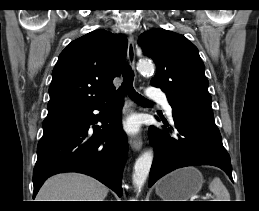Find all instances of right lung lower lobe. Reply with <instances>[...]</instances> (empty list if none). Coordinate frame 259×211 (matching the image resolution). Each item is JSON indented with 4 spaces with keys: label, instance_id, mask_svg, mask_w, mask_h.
Segmentation results:
<instances>
[{
    "label": "right lung lower lobe",
    "instance_id": "obj_1",
    "mask_svg": "<svg viewBox=\"0 0 259 211\" xmlns=\"http://www.w3.org/2000/svg\"><path fill=\"white\" fill-rule=\"evenodd\" d=\"M122 100L115 98L91 109L62 114L43 121L33 171L36 196L44 181L57 173L90 175L122 196L121 176L128 153L127 137L120 126ZM100 110L102 117L93 114ZM100 120L102 127L90 125Z\"/></svg>",
    "mask_w": 259,
    "mask_h": 211
}]
</instances>
